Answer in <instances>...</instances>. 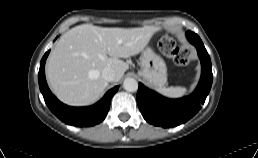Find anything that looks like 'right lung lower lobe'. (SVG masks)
Wrapping results in <instances>:
<instances>
[{"mask_svg":"<svg viewBox=\"0 0 258 158\" xmlns=\"http://www.w3.org/2000/svg\"><path fill=\"white\" fill-rule=\"evenodd\" d=\"M50 51L46 52L40 62L38 81L40 91L48 108L63 122L73 126L89 127L100 123L107 115L112 96L118 86L109 90L105 96L90 107H70L61 103L50 91L45 79L44 66Z\"/></svg>","mask_w":258,"mask_h":158,"instance_id":"obj_1","label":"right lung lower lobe"}]
</instances>
